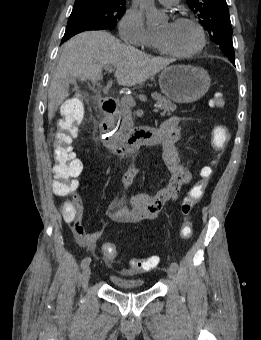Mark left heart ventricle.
<instances>
[{
	"instance_id": "obj_1",
	"label": "left heart ventricle",
	"mask_w": 261,
	"mask_h": 340,
	"mask_svg": "<svg viewBox=\"0 0 261 340\" xmlns=\"http://www.w3.org/2000/svg\"><path fill=\"white\" fill-rule=\"evenodd\" d=\"M156 36L170 50L188 52L198 45V34L189 24L173 22L164 23L156 32Z\"/></svg>"
}]
</instances>
